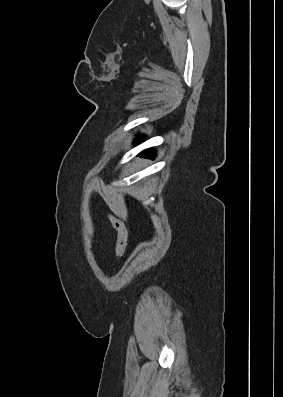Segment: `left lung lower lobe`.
<instances>
[{"label": "left lung lower lobe", "instance_id": "obj_1", "mask_svg": "<svg viewBox=\"0 0 283 397\" xmlns=\"http://www.w3.org/2000/svg\"><path fill=\"white\" fill-rule=\"evenodd\" d=\"M153 155H154V152L150 151L149 149L143 151L142 154H141V156H143V157H150V156H153Z\"/></svg>", "mask_w": 283, "mask_h": 397}]
</instances>
